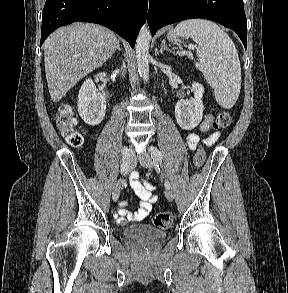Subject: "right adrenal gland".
I'll use <instances>...</instances> for the list:
<instances>
[{"label": "right adrenal gland", "instance_id": "2a0ac1e0", "mask_svg": "<svg viewBox=\"0 0 288 293\" xmlns=\"http://www.w3.org/2000/svg\"><path fill=\"white\" fill-rule=\"evenodd\" d=\"M118 50V51H121V48H120V44H119V41H117V46H116V49L115 51Z\"/></svg>", "mask_w": 288, "mask_h": 293}]
</instances>
